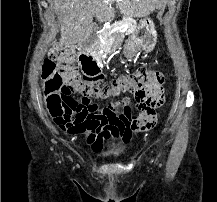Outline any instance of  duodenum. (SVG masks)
Returning a JSON list of instances; mask_svg holds the SVG:
<instances>
[{
  "label": "duodenum",
  "instance_id": "410a0bca",
  "mask_svg": "<svg viewBox=\"0 0 217 202\" xmlns=\"http://www.w3.org/2000/svg\"><path fill=\"white\" fill-rule=\"evenodd\" d=\"M79 60L84 74L88 77H96L100 73V68L94 58L93 48L83 51Z\"/></svg>",
  "mask_w": 217,
  "mask_h": 202
}]
</instances>
